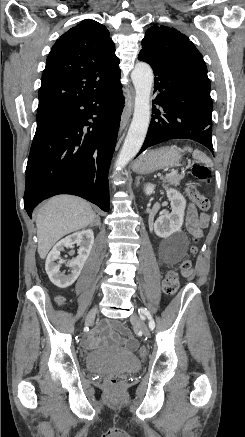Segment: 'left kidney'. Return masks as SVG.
Segmentation results:
<instances>
[{"label": "left kidney", "mask_w": 245, "mask_h": 437, "mask_svg": "<svg viewBox=\"0 0 245 437\" xmlns=\"http://www.w3.org/2000/svg\"><path fill=\"white\" fill-rule=\"evenodd\" d=\"M154 188V185L147 184L145 186L146 195H151L154 192ZM166 192L172 211L170 214L158 217L154 223L155 234L161 238H168L173 234L181 232L186 207L185 198L177 190L166 188Z\"/></svg>", "instance_id": "1"}]
</instances>
